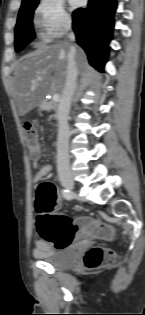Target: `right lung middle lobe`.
Wrapping results in <instances>:
<instances>
[{
	"label": "right lung middle lobe",
	"instance_id": "obj_1",
	"mask_svg": "<svg viewBox=\"0 0 145 315\" xmlns=\"http://www.w3.org/2000/svg\"><path fill=\"white\" fill-rule=\"evenodd\" d=\"M38 3L39 0H34L21 5L15 27V50L17 52L25 48L35 38L32 18Z\"/></svg>",
	"mask_w": 145,
	"mask_h": 315
}]
</instances>
